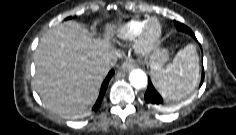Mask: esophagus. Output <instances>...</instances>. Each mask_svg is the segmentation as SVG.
Instances as JSON below:
<instances>
[{
    "mask_svg": "<svg viewBox=\"0 0 236 135\" xmlns=\"http://www.w3.org/2000/svg\"><path fill=\"white\" fill-rule=\"evenodd\" d=\"M134 67H135L134 62L131 61V60H127V61H125V62L122 64L121 69H122L123 71H130V70H132Z\"/></svg>",
    "mask_w": 236,
    "mask_h": 135,
    "instance_id": "esophagus-1",
    "label": "esophagus"
}]
</instances>
